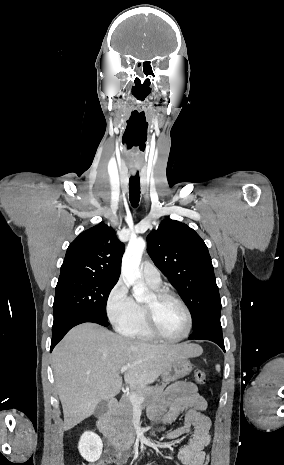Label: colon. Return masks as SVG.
<instances>
[{
	"mask_svg": "<svg viewBox=\"0 0 284 465\" xmlns=\"http://www.w3.org/2000/svg\"><path fill=\"white\" fill-rule=\"evenodd\" d=\"M194 380L198 384L205 383L207 380L205 372L202 370H196L194 373ZM209 462H210V457H205V462L203 465H210Z\"/></svg>",
	"mask_w": 284,
	"mask_h": 465,
	"instance_id": "5ec220e1",
	"label": "colon"
}]
</instances>
